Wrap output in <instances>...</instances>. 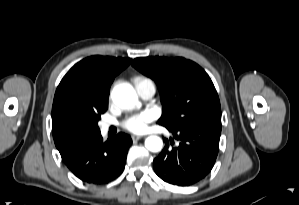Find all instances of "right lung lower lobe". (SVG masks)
<instances>
[{
	"label": "right lung lower lobe",
	"instance_id": "98d812e1",
	"mask_svg": "<svg viewBox=\"0 0 299 205\" xmlns=\"http://www.w3.org/2000/svg\"><path fill=\"white\" fill-rule=\"evenodd\" d=\"M131 143L130 136L124 133L106 142L98 133L84 138L60 154L67 167L82 181L106 184L124 170Z\"/></svg>",
	"mask_w": 299,
	"mask_h": 205
}]
</instances>
